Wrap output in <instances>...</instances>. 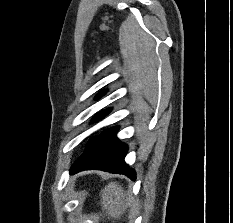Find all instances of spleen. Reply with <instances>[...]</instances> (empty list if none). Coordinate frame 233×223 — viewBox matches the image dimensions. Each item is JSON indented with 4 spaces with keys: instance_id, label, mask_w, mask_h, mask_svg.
Segmentation results:
<instances>
[{
    "instance_id": "1",
    "label": "spleen",
    "mask_w": 233,
    "mask_h": 223,
    "mask_svg": "<svg viewBox=\"0 0 233 223\" xmlns=\"http://www.w3.org/2000/svg\"><path fill=\"white\" fill-rule=\"evenodd\" d=\"M99 195L101 197V209L109 213L110 217H121L122 213H125L126 207L121 205L122 199H126L131 205L133 201L135 209H138V201L132 199L131 193H124L123 187L118 185L117 181H110L108 185H105L104 189H101Z\"/></svg>"
}]
</instances>
